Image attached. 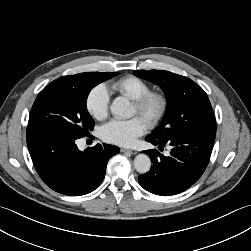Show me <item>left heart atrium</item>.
<instances>
[{
	"instance_id": "left-heart-atrium-1",
	"label": "left heart atrium",
	"mask_w": 251,
	"mask_h": 251,
	"mask_svg": "<svg viewBox=\"0 0 251 251\" xmlns=\"http://www.w3.org/2000/svg\"><path fill=\"white\" fill-rule=\"evenodd\" d=\"M146 129V122L140 117L128 120L114 119L101 127L100 137L108 143L131 146L139 136L145 133Z\"/></svg>"
}]
</instances>
